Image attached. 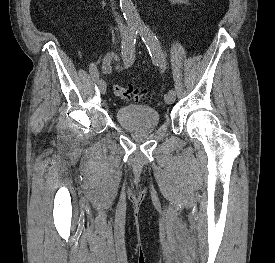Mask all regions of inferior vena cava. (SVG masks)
Segmentation results:
<instances>
[{"label": "inferior vena cava", "mask_w": 275, "mask_h": 263, "mask_svg": "<svg viewBox=\"0 0 275 263\" xmlns=\"http://www.w3.org/2000/svg\"><path fill=\"white\" fill-rule=\"evenodd\" d=\"M114 4V2L112 3V5ZM115 15H116V13H115ZM116 21H117V23H118V26H119V28H120V31L121 32H125V30H126V26L123 24V21H121V19L119 18V17H116Z\"/></svg>", "instance_id": "602c4592"}]
</instances>
